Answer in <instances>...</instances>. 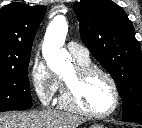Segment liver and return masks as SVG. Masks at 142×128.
<instances>
[{
  "label": "liver",
  "mask_w": 142,
  "mask_h": 128,
  "mask_svg": "<svg viewBox=\"0 0 142 128\" xmlns=\"http://www.w3.org/2000/svg\"><path fill=\"white\" fill-rule=\"evenodd\" d=\"M82 121L77 115L55 109L0 114V128H77Z\"/></svg>",
  "instance_id": "liver-1"
}]
</instances>
